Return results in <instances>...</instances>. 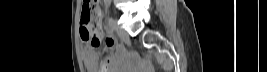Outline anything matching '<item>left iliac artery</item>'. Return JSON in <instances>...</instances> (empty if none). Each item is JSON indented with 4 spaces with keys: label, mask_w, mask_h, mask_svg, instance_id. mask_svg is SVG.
<instances>
[{
    "label": "left iliac artery",
    "mask_w": 267,
    "mask_h": 72,
    "mask_svg": "<svg viewBox=\"0 0 267 72\" xmlns=\"http://www.w3.org/2000/svg\"><path fill=\"white\" fill-rule=\"evenodd\" d=\"M106 6L108 7L109 6V3H106ZM108 27L111 30H114L115 29V24H114L113 18H109L108 19Z\"/></svg>",
    "instance_id": "left-iliac-artery-1"
}]
</instances>
